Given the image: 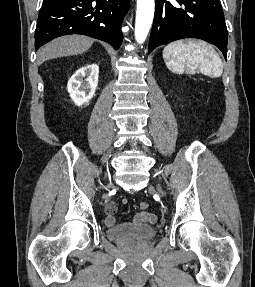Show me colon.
Masks as SVG:
<instances>
[{
  "instance_id": "obj_1",
  "label": "colon",
  "mask_w": 255,
  "mask_h": 287,
  "mask_svg": "<svg viewBox=\"0 0 255 287\" xmlns=\"http://www.w3.org/2000/svg\"><path fill=\"white\" fill-rule=\"evenodd\" d=\"M139 207H140L141 210L145 211V210H147L149 208V204L147 202H141L139 204Z\"/></svg>"
}]
</instances>
